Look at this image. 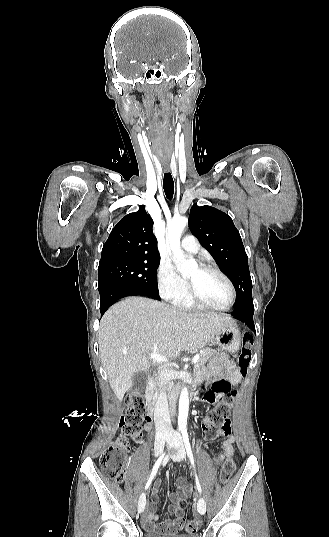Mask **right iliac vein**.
Instances as JSON below:
<instances>
[{"label": "right iliac vein", "instance_id": "obj_1", "mask_svg": "<svg viewBox=\"0 0 329 537\" xmlns=\"http://www.w3.org/2000/svg\"><path fill=\"white\" fill-rule=\"evenodd\" d=\"M165 440L170 441V438L162 436L157 440L156 448H155L156 456H158L161 453ZM145 504H146V495L145 493H142L138 500V512L139 513H142L144 511Z\"/></svg>", "mask_w": 329, "mask_h": 537}]
</instances>
